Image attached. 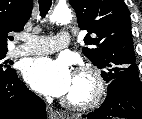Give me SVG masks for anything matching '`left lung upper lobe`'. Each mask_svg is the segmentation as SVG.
Returning <instances> with one entry per match:
<instances>
[{
	"label": "left lung upper lobe",
	"mask_w": 142,
	"mask_h": 119,
	"mask_svg": "<svg viewBox=\"0 0 142 119\" xmlns=\"http://www.w3.org/2000/svg\"><path fill=\"white\" fill-rule=\"evenodd\" d=\"M78 25L87 30L83 54L98 68L106 82L138 74L131 34L130 13L124 0H69ZM139 75V74H138Z\"/></svg>",
	"instance_id": "5c2ea615"
}]
</instances>
